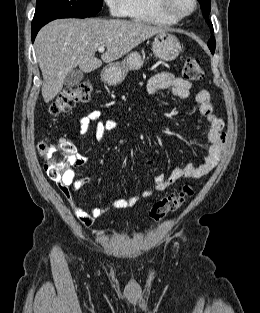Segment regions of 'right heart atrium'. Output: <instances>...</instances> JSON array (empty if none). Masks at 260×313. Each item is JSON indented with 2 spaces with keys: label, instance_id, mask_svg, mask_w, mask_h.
<instances>
[{
  "label": "right heart atrium",
  "instance_id": "obj_1",
  "mask_svg": "<svg viewBox=\"0 0 260 313\" xmlns=\"http://www.w3.org/2000/svg\"><path fill=\"white\" fill-rule=\"evenodd\" d=\"M112 16L123 17L126 15L127 0H103Z\"/></svg>",
  "mask_w": 260,
  "mask_h": 313
}]
</instances>
